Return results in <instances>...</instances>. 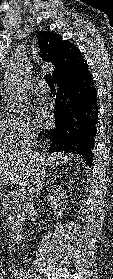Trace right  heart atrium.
<instances>
[{"instance_id": "obj_1", "label": "right heart atrium", "mask_w": 113, "mask_h": 279, "mask_svg": "<svg viewBox=\"0 0 113 279\" xmlns=\"http://www.w3.org/2000/svg\"><path fill=\"white\" fill-rule=\"evenodd\" d=\"M11 136L16 141L25 138L35 132V127L27 116H16L11 118Z\"/></svg>"}]
</instances>
